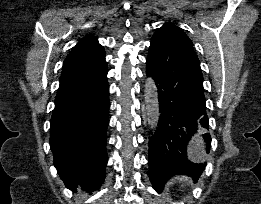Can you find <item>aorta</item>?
Segmentation results:
<instances>
[{
	"mask_svg": "<svg viewBox=\"0 0 261 204\" xmlns=\"http://www.w3.org/2000/svg\"><path fill=\"white\" fill-rule=\"evenodd\" d=\"M144 99L147 121L151 129L157 127L159 121L158 90L152 77H147L144 85Z\"/></svg>",
	"mask_w": 261,
	"mask_h": 204,
	"instance_id": "762f6f07",
	"label": "aorta"
}]
</instances>
